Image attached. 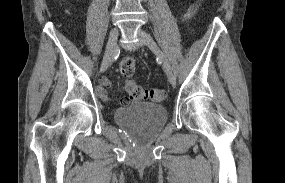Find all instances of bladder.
Wrapping results in <instances>:
<instances>
[{"label":"bladder","mask_w":285,"mask_h":183,"mask_svg":"<svg viewBox=\"0 0 285 183\" xmlns=\"http://www.w3.org/2000/svg\"><path fill=\"white\" fill-rule=\"evenodd\" d=\"M115 121L132 130L144 134L155 133L167 119L166 108L161 104L132 103L119 107L114 113Z\"/></svg>","instance_id":"1"}]
</instances>
